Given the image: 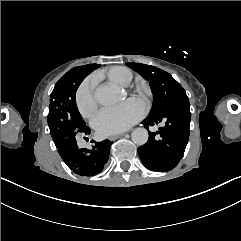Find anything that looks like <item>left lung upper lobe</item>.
I'll return each instance as SVG.
<instances>
[{
    "label": "left lung upper lobe",
    "mask_w": 241,
    "mask_h": 241,
    "mask_svg": "<svg viewBox=\"0 0 241 241\" xmlns=\"http://www.w3.org/2000/svg\"><path fill=\"white\" fill-rule=\"evenodd\" d=\"M126 65L149 81L154 98L149 116L162 113L178 100L188 98L182 86L169 73L140 63Z\"/></svg>",
    "instance_id": "5c2ea615"
}]
</instances>
